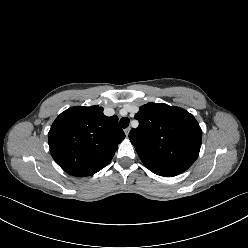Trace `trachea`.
<instances>
[{"instance_id":"trachea-1","label":"trachea","mask_w":248,"mask_h":248,"mask_svg":"<svg viewBox=\"0 0 248 248\" xmlns=\"http://www.w3.org/2000/svg\"><path fill=\"white\" fill-rule=\"evenodd\" d=\"M119 123L122 128H127L129 126L130 120L127 117H123L120 119Z\"/></svg>"}]
</instances>
